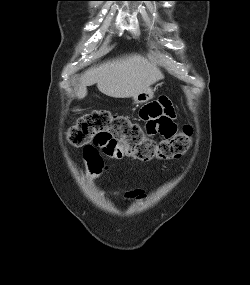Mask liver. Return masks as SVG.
<instances>
[{
  "instance_id": "obj_1",
  "label": "liver",
  "mask_w": 250,
  "mask_h": 285,
  "mask_svg": "<svg viewBox=\"0 0 250 285\" xmlns=\"http://www.w3.org/2000/svg\"><path fill=\"white\" fill-rule=\"evenodd\" d=\"M163 78L159 68L140 54L126 55L86 70L80 78L76 96L83 99L87 86L97 84L99 91L113 98H130Z\"/></svg>"
}]
</instances>
